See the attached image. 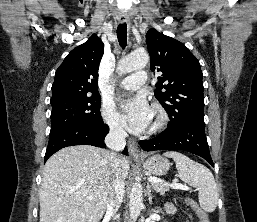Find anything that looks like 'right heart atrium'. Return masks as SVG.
I'll list each match as a JSON object with an SVG mask.
<instances>
[{"instance_id":"d8ad5b80","label":"right heart atrium","mask_w":257,"mask_h":222,"mask_svg":"<svg viewBox=\"0 0 257 222\" xmlns=\"http://www.w3.org/2000/svg\"><path fill=\"white\" fill-rule=\"evenodd\" d=\"M101 116L111 134L117 137L124 136L125 132L119 115L112 106L108 104H103L101 106Z\"/></svg>"}]
</instances>
